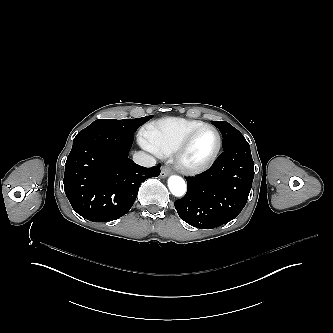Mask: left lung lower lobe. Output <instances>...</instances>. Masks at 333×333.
Instances as JSON below:
<instances>
[{"label": "left lung lower lobe", "mask_w": 333, "mask_h": 333, "mask_svg": "<svg viewBox=\"0 0 333 333\" xmlns=\"http://www.w3.org/2000/svg\"><path fill=\"white\" fill-rule=\"evenodd\" d=\"M254 178L248 142L223 150L214 164L195 177H186L187 193L174 205L180 218L202 229H212L236 218L244 208Z\"/></svg>", "instance_id": "left-lung-lower-lobe-1"}]
</instances>
